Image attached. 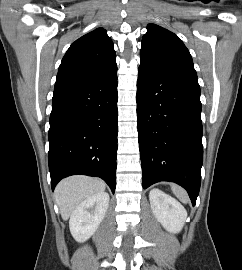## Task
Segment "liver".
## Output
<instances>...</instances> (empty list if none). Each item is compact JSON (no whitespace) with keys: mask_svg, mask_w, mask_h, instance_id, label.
<instances>
[{"mask_svg":"<svg viewBox=\"0 0 242 270\" xmlns=\"http://www.w3.org/2000/svg\"><path fill=\"white\" fill-rule=\"evenodd\" d=\"M104 181L86 176H72L63 179L55 189V198L64 221L72 215L77 206L88 197L105 190Z\"/></svg>","mask_w":242,"mask_h":270,"instance_id":"1","label":"liver"}]
</instances>
